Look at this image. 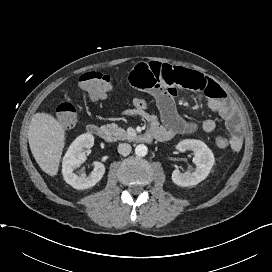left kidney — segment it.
Here are the masks:
<instances>
[{"label": "left kidney", "mask_w": 272, "mask_h": 272, "mask_svg": "<svg viewBox=\"0 0 272 272\" xmlns=\"http://www.w3.org/2000/svg\"><path fill=\"white\" fill-rule=\"evenodd\" d=\"M176 148L180 152L188 150L193 152L196 169L191 173H182L179 169H176L172 173V181L182 187L197 185L203 181L214 165V155L210 148L204 142L196 139L182 140L177 144Z\"/></svg>", "instance_id": "5707ae66"}]
</instances>
